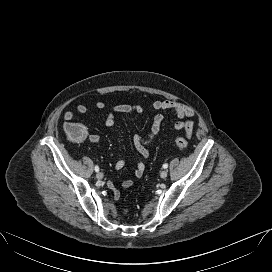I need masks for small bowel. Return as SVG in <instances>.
<instances>
[{
	"mask_svg": "<svg viewBox=\"0 0 272 272\" xmlns=\"http://www.w3.org/2000/svg\"><path fill=\"white\" fill-rule=\"evenodd\" d=\"M95 107L98 110H103L106 108L105 103L103 102H97L95 104ZM152 108L159 113L155 115L151 129L149 134L146 137H143L141 135H134L133 137V144L137 152L143 157L148 158L150 155L149 152V145L153 143V141L158 136L161 126L164 121V115L163 112H173L179 119L186 118V121L178 120L173 124V128L176 131L184 130L185 134L188 135V137H191L194 131V110L181 102L174 101V100H155L152 103ZM76 111L79 114H87L88 109L84 105H78L76 107ZM143 111V107L138 104H116L112 107V110L107 114L105 118V125L107 127H112L115 123V115L118 113L122 114H129V113H136L139 114ZM64 120L66 122L71 121L74 118V113L71 111H67L64 113L63 116ZM89 142L96 143L99 140V136L97 134H90L88 137ZM125 166V161L123 159L118 160L115 163V169L121 170ZM145 170V165L143 162H138L136 169L134 171V175L137 178L142 177ZM123 188H129L133 185V181L131 179H126L122 182ZM109 188L111 189L113 193V197L115 200H118L120 198V191L112 184H109Z\"/></svg>",
	"mask_w": 272,
	"mask_h": 272,
	"instance_id": "c3829d8e",
	"label": "small bowel"
}]
</instances>
